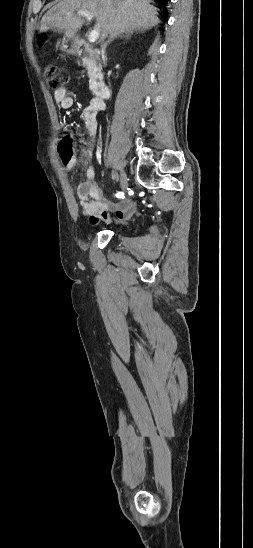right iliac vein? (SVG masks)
<instances>
[{"label":"right iliac vein","mask_w":253,"mask_h":548,"mask_svg":"<svg viewBox=\"0 0 253 548\" xmlns=\"http://www.w3.org/2000/svg\"><path fill=\"white\" fill-rule=\"evenodd\" d=\"M120 187L123 192H126L128 187V177L124 171L121 174Z\"/></svg>","instance_id":"right-iliac-vein-1"}]
</instances>
